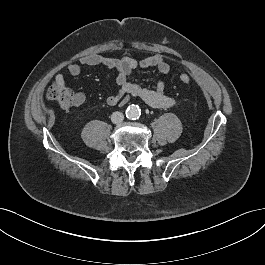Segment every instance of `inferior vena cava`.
Returning a JSON list of instances; mask_svg holds the SVG:
<instances>
[{"label": "inferior vena cava", "instance_id": "inferior-vena-cava-1", "mask_svg": "<svg viewBox=\"0 0 265 265\" xmlns=\"http://www.w3.org/2000/svg\"><path fill=\"white\" fill-rule=\"evenodd\" d=\"M124 120V115L123 113L119 112V111H116V112H113L112 115H111V121L114 123V124H119L121 123L122 121Z\"/></svg>", "mask_w": 265, "mask_h": 265}]
</instances>
